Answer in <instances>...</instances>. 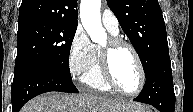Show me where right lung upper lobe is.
Instances as JSON below:
<instances>
[{"mask_svg": "<svg viewBox=\"0 0 193 112\" xmlns=\"http://www.w3.org/2000/svg\"><path fill=\"white\" fill-rule=\"evenodd\" d=\"M77 0H23L18 29L41 23L78 25Z\"/></svg>", "mask_w": 193, "mask_h": 112, "instance_id": "cb5924a9", "label": "right lung upper lobe"}]
</instances>
